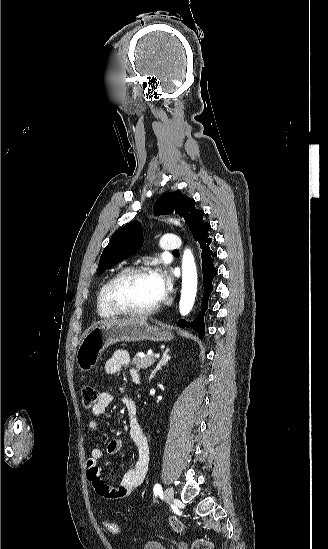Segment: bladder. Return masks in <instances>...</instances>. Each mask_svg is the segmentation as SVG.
Returning <instances> with one entry per match:
<instances>
[{
  "mask_svg": "<svg viewBox=\"0 0 328 549\" xmlns=\"http://www.w3.org/2000/svg\"><path fill=\"white\" fill-rule=\"evenodd\" d=\"M146 549H165V548L159 543H152L148 545Z\"/></svg>",
  "mask_w": 328,
  "mask_h": 549,
  "instance_id": "obj_1",
  "label": "bladder"
}]
</instances>
